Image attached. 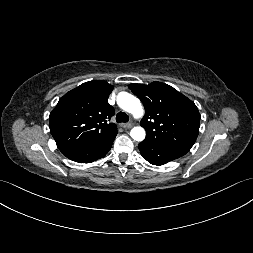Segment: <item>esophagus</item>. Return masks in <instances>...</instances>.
I'll list each match as a JSON object with an SVG mask.
<instances>
[{"label": "esophagus", "instance_id": "1", "mask_svg": "<svg viewBox=\"0 0 253 253\" xmlns=\"http://www.w3.org/2000/svg\"><path fill=\"white\" fill-rule=\"evenodd\" d=\"M132 126H133L132 123H124V124H122V127L125 128V129H129V128H131Z\"/></svg>", "mask_w": 253, "mask_h": 253}]
</instances>
